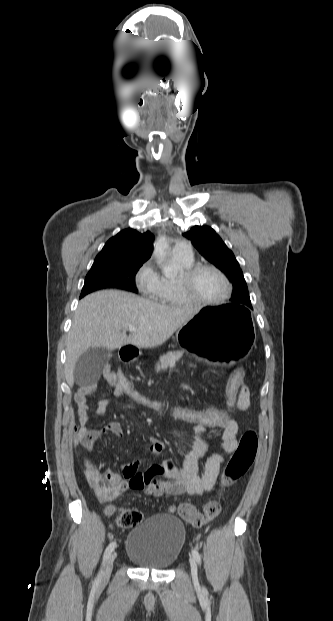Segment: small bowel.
Wrapping results in <instances>:
<instances>
[{
  "instance_id": "c3829d8e",
  "label": "small bowel",
  "mask_w": 333,
  "mask_h": 621,
  "mask_svg": "<svg viewBox=\"0 0 333 621\" xmlns=\"http://www.w3.org/2000/svg\"><path fill=\"white\" fill-rule=\"evenodd\" d=\"M107 379L113 388V395L115 397L123 396L114 377L107 376ZM95 390V384H85L75 394L77 416L80 424L76 433V441L86 449H91L104 434L109 433L116 437L123 435L122 426L117 421H111L103 428L97 430H90L87 427L90 410L88 399L94 394ZM249 399V390L243 385L238 395L237 409H247ZM108 404V399L100 400L96 407V414L103 415ZM193 429L195 439L185 455L181 467H176L173 460L167 457L159 459L146 470L141 471V466L149 457L160 456L165 448L161 440L156 437H150L148 439L147 452L142 457L122 466L123 477L111 470H107L105 473L115 482L117 487L112 499L129 489L143 491L145 494L153 497L182 494L201 496L212 490L220 475L221 465L225 457L232 454L237 448L239 425L232 418L220 428L223 431L221 450L213 453L206 459L204 471L201 475L198 474L199 462L204 458L208 448V443L205 439L206 427L194 425Z\"/></svg>"
}]
</instances>
